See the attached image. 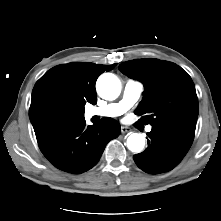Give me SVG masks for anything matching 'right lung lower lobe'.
<instances>
[{"mask_svg": "<svg viewBox=\"0 0 221 221\" xmlns=\"http://www.w3.org/2000/svg\"><path fill=\"white\" fill-rule=\"evenodd\" d=\"M121 128L111 118L96 125L85 119L61 122L37 137L44 156L58 169L79 174L95 166L107 143L118 137Z\"/></svg>", "mask_w": 221, "mask_h": 221, "instance_id": "98d812e1", "label": "right lung lower lobe"}]
</instances>
